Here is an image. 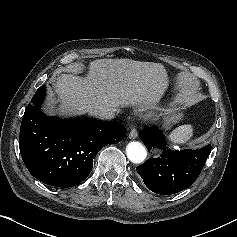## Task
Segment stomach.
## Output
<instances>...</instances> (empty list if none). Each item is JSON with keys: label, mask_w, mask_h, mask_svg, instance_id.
<instances>
[{"label": "stomach", "mask_w": 237, "mask_h": 237, "mask_svg": "<svg viewBox=\"0 0 237 237\" xmlns=\"http://www.w3.org/2000/svg\"><path fill=\"white\" fill-rule=\"evenodd\" d=\"M183 117L181 108L176 104H171L166 110L164 115V127L168 129L171 125L177 123Z\"/></svg>", "instance_id": "0dacf381"}]
</instances>
